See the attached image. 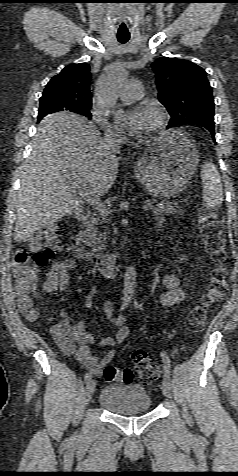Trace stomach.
Wrapping results in <instances>:
<instances>
[{
  "instance_id": "obj_1",
  "label": "stomach",
  "mask_w": 238,
  "mask_h": 476,
  "mask_svg": "<svg viewBox=\"0 0 238 476\" xmlns=\"http://www.w3.org/2000/svg\"><path fill=\"white\" fill-rule=\"evenodd\" d=\"M198 163V151L186 133L171 130L150 141L134 172L152 195L172 198L187 186Z\"/></svg>"
}]
</instances>
